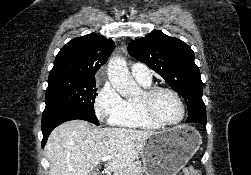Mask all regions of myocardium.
Masks as SVG:
<instances>
[{
	"mask_svg": "<svg viewBox=\"0 0 251 175\" xmlns=\"http://www.w3.org/2000/svg\"><path fill=\"white\" fill-rule=\"evenodd\" d=\"M161 91H169L175 94L177 97L181 107H182V118L181 120L176 124H165L163 123L154 113L152 109V99L155 97L156 94H158ZM142 94L144 96L143 100L138 101V107L141 111V113L154 125H156L158 128H165V129H176L182 127L188 117V109L186 106V103L184 101L183 95L175 88L169 87V86H153L149 88H145L142 91Z\"/></svg>",
	"mask_w": 251,
	"mask_h": 175,
	"instance_id": "myocardium-1",
	"label": "myocardium"
}]
</instances>
